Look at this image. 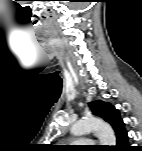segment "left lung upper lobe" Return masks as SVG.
<instances>
[{
  "label": "left lung upper lobe",
  "mask_w": 142,
  "mask_h": 151,
  "mask_svg": "<svg viewBox=\"0 0 142 151\" xmlns=\"http://www.w3.org/2000/svg\"><path fill=\"white\" fill-rule=\"evenodd\" d=\"M89 107L94 115L101 117L111 124L116 136L125 130V124L120 117L119 111L110 103L96 100L90 102Z\"/></svg>",
  "instance_id": "left-lung-upper-lobe-1"
}]
</instances>
